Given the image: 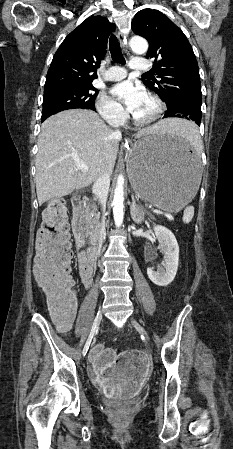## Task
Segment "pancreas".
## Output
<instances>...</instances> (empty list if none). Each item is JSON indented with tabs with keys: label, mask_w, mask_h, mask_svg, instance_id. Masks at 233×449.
<instances>
[{
	"label": "pancreas",
	"mask_w": 233,
	"mask_h": 449,
	"mask_svg": "<svg viewBox=\"0 0 233 449\" xmlns=\"http://www.w3.org/2000/svg\"><path fill=\"white\" fill-rule=\"evenodd\" d=\"M90 218H91V223L94 225H97L99 222V214L97 212L96 206L95 205H91V211H90Z\"/></svg>",
	"instance_id": "obj_1"
}]
</instances>
